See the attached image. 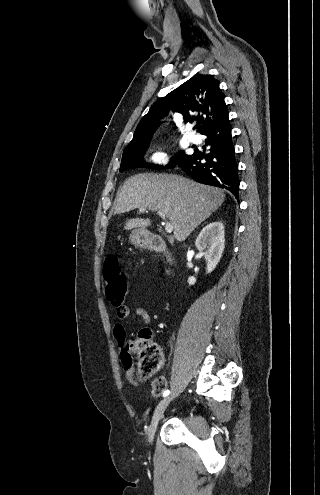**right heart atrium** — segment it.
<instances>
[{
  "instance_id": "d8ad5b80",
  "label": "right heart atrium",
  "mask_w": 320,
  "mask_h": 495,
  "mask_svg": "<svg viewBox=\"0 0 320 495\" xmlns=\"http://www.w3.org/2000/svg\"><path fill=\"white\" fill-rule=\"evenodd\" d=\"M166 159H167V155L162 151L154 152L151 155V160L156 163H163L166 161Z\"/></svg>"
}]
</instances>
